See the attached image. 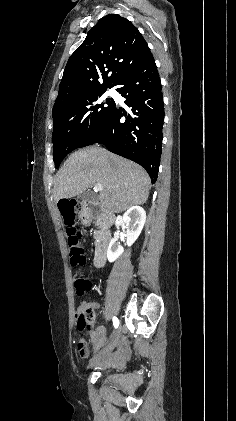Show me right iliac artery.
I'll return each mask as SVG.
<instances>
[{"instance_id": "82829eb1", "label": "right iliac artery", "mask_w": 236, "mask_h": 421, "mask_svg": "<svg viewBox=\"0 0 236 421\" xmlns=\"http://www.w3.org/2000/svg\"><path fill=\"white\" fill-rule=\"evenodd\" d=\"M113 325H114L115 328H118V326H119V320L115 316L113 317Z\"/></svg>"}]
</instances>
